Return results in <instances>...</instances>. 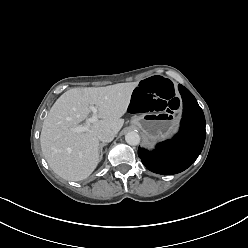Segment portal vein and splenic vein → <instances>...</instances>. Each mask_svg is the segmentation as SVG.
I'll return each instance as SVG.
<instances>
[{
	"label": "portal vein and splenic vein",
	"instance_id": "1",
	"mask_svg": "<svg viewBox=\"0 0 248 248\" xmlns=\"http://www.w3.org/2000/svg\"><path fill=\"white\" fill-rule=\"evenodd\" d=\"M90 109L93 112L92 117L88 118L84 125H79V126L71 128V131H73V132H85L89 129V126L91 123H94L98 120L97 108L94 106H91Z\"/></svg>",
	"mask_w": 248,
	"mask_h": 248
}]
</instances>
